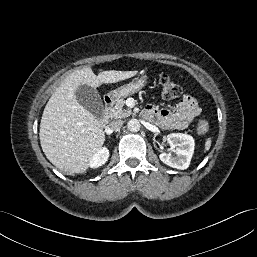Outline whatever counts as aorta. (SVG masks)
Segmentation results:
<instances>
[{
    "mask_svg": "<svg viewBox=\"0 0 257 257\" xmlns=\"http://www.w3.org/2000/svg\"><path fill=\"white\" fill-rule=\"evenodd\" d=\"M128 129L132 132H137L140 130V122L137 119H131L128 121Z\"/></svg>",
    "mask_w": 257,
    "mask_h": 257,
    "instance_id": "1",
    "label": "aorta"
}]
</instances>
